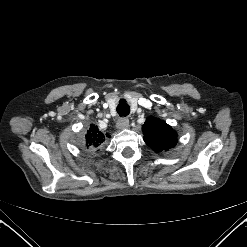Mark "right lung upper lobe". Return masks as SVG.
<instances>
[{
	"mask_svg": "<svg viewBox=\"0 0 247 247\" xmlns=\"http://www.w3.org/2000/svg\"><path fill=\"white\" fill-rule=\"evenodd\" d=\"M106 137H109V135L106 134L105 136L96 125L90 124L85 135V147L90 151L98 150L104 145Z\"/></svg>",
	"mask_w": 247,
	"mask_h": 247,
	"instance_id": "cb5924a9",
	"label": "right lung upper lobe"
}]
</instances>
